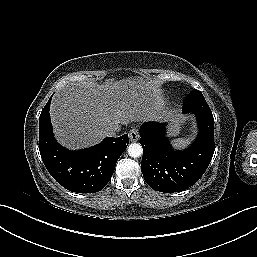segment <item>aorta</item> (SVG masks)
Instances as JSON below:
<instances>
[{"label": "aorta", "instance_id": "762f6f07", "mask_svg": "<svg viewBox=\"0 0 257 257\" xmlns=\"http://www.w3.org/2000/svg\"><path fill=\"white\" fill-rule=\"evenodd\" d=\"M143 149L142 146L138 143H131L128 146V154L133 158H138L142 155Z\"/></svg>", "mask_w": 257, "mask_h": 257}]
</instances>
